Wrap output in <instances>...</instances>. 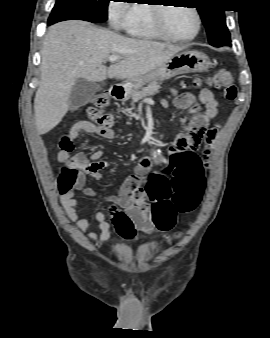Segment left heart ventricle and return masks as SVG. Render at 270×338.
<instances>
[{
	"label": "left heart ventricle",
	"mask_w": 270,
	"mask_h": 338,
	"mask_svg": "<svg viewBox=\"0 0 270 338\" xmlns=\"http://www.w3.org/2000/svg\"><path fill=\"white\" fill-rule=\"evenodd\" d=\"M164 17L167 29L176 37H189L196 30V16L188 7H169Z\"/></svg>",
	"instance_id": "obj_1"
}]
</instances>
